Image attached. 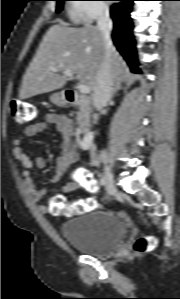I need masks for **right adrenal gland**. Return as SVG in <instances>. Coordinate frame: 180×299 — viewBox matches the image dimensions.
I'll use <instances>...</instances> for the list:
<instances>
[{"instance_id":"1","label":"right adrenal gland","mask_w":180,"mask_h":299,"mask_svg":"<svg viewBox=\"0 0 180 299\" xmlns=\"http://www.w3.org/2000/svg\"><path fill=\"white\" fill-rule=\"evenodd\" d=\"M122 82H123V77H121V78L119 79V81H118L117 83L114 84V86H113L112 96H114L119 90H122V89L125 90V88L122 87Z\"/></svg>"}]
</instances>
